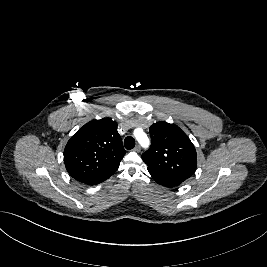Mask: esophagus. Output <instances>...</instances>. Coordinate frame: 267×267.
<instances>
[{
	"label": "esophagus",
	"instance_id": "esophagus-1",
	"mask_svg": "<svg viewBox=\"0 0 267 267\" xmlns=\"http://www.w3.org/2000/svg\"><path fill=\"white\" fill-rule=\"evenodd\" d=\"M135 152H140L141 151V147L140 145H136L133 149Z\"/></svg>",
	"mask_w": 267,
	"mask_h": 267
}]
</instances>
